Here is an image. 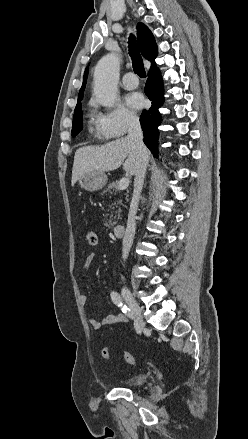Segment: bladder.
<instances>
[{
	"instance_id": "obj_1",
	"label": "bladder",
	"mask_w": 248,
	"mask_h": 439,
	"mask_svg": "<svg viewBox=\"0 0 248 439\" xmlns=\"http://www.w3.org/2000/svg\"><path fill=\"white\" fill-rule=\"evenodd\" d=\"M146 380L147 374L136 373L121 379L118 381V384L123 387L131 388L144 384Z\"/></svg>"
}]
</instances>
